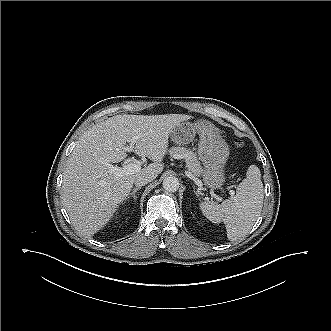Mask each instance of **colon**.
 Segmentation results:
<instances>
[{"label": "colon", "instance_id": "colon-1", "mask_svg": "<svg viewBox=\"0 0 331 331\" xmlns=\"http://www.w3.org/2000/svg\"><path fill=\"white\" fill-rule=\"evenodd\" d=\"M234 144H235L236 146H241V145L243 144V141L240 140V139H236V140L234 141Z\"/></svg>", "mask_w": 331, "mask_h": 331}]
</instances>
